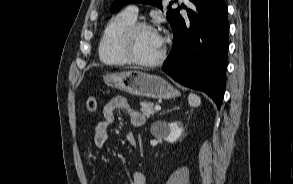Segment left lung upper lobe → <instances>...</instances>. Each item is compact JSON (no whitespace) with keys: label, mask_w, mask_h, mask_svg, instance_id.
Masks as SVG:
<instances>
[{"label":"left lung upper lobe","mask_w":293,"mask_h":184,"mask_svg":"<svg viewBox=\"0 0 293 184\" xmlns=\"http://www.w3.org/2000/svg\"><path fill=\"white\" fill-rule=\"evenodd\" d=\"M129 3H143V4H152L157 6L158 8L162 9V0H116L110 7L111 12H116L117 10L121 9L124 5ZM172 3L169 4L167 8V19L171 23L173 19L174 10L170 8Z\"/></svg>","instance_id":"5c2ea615"}]
</instances>
